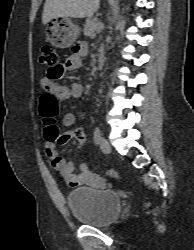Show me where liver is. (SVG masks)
Listing matches in <instances>:
<instances>
[{"mask_svg": "<svg viewBox=\"0 0 194 250\" xmlns=\"http://www.w3.org/2000/svg\"><path fill=\"white\" fill-rule=\"evenodd\" d=\"M100 0H46L42 13L44 25L52 19L91 17L99 7Z\"/></svg>", "mask_w": 194, "mask_h": 250, "instance_id": "1", "label": "liver"}]
</instances>
